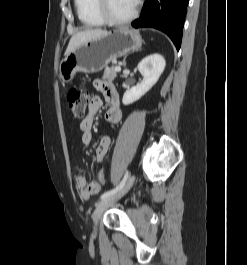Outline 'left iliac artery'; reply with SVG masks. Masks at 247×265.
I'll return each instance as SVG.
<instances>
[{
	"label": "left iliac artery",
	"instance_id": "obj_1",
	"mask_svg": "<svg viewBox=\"0 0 247 265\" xmlns=\"http://www.w3.org/2000/svg\"><path fill=\"white\" fill-rule=\"evenodd\" d=\"M127 178H128V171H126L124 178L114 189L108 190L101 195V199L106 198V197L116 193L118 190H120L124 186Z\"/></svg>",
	"mask_w": 247,
	"mask_h": 265
}]
</instances>
